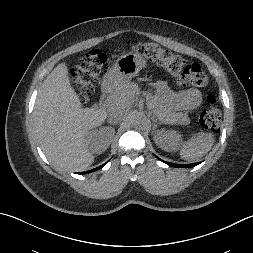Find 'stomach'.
<instances>
[{
    "mask_svg": "<svg viewBox=\"0 0 253 253\" xmlns=\"http://www.w3.org/2000/svg\"><path fill=\"white\" fill-rule=\"evenodd\" d=\"M147 66L146 60L136 53L120 56L115 65L105 74L103 87L114 90L135 77L139 71Z\"/></svg>",
    "mask_w": 253,
    "mask_h": 253,
    "instance_id": "0dacf381",
    "label": "stomach"
}]
</instances>
